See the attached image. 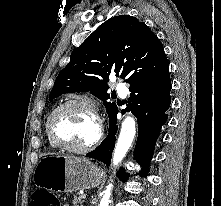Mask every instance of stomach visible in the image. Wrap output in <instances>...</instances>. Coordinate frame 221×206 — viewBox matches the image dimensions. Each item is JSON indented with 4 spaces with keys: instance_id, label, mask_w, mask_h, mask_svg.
<instances>
[{
    "instance_id": "0dacf381",
    "label": "stomach",
    "mask_w": 221,
    "mask_h": 206,
    "mask_svg": "<svg viewBox=\"0 0 221 206\" xmlns=\"http://www.w3.org/2000/svg\"><path fill=\"white\" fill-rule=\"evenodd\" d=\"M101 178V169L89 160L60 154L40 159L33 175L36 187L60 193L96 187Z\"/></svg>"
}]
</instances>
